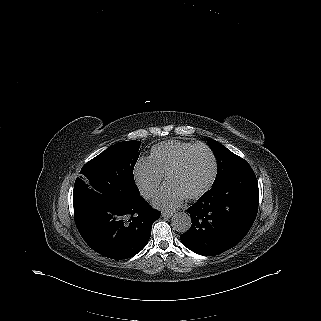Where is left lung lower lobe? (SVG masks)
Returning <instances> with one entry per match:
<instances>
[{
  "label": "left lung lower lobe",
  "mask_w": 321,
  "mask_h": 321,
  "mask_svg": "<svg viewBox=\"0 0 321 321\" xmlns=\"http://www.w3.org/2000/svg\"><path fill=\"white\" fill-rule=\"evenodd\" d=\"M259 190L253 170L233 172L188 208L192 225L180 238L191 251L221 254L238 244L257 215Z\"/></svg>",
  "instance_id": "obj_1"
}]
</instances>
